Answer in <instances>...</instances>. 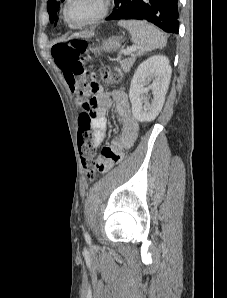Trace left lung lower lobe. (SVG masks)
<instances>
[{
  "instance_id": "left-lung-lower-lobe-1",
  "label": "left lung lower lobe",
  "mask_w": 227,
  "mask_h": 298,
  "mask_svg": "<svg viewBox=\"0 0 227 298\" xmlns=\"http://www.w3.org/2000/svg\"><path fill=\"white\" fill-rule=\"evenodd\" d=\"M116 8L106 20H147L168 33H178L177 0H115Z\"/></svg>"
}]
</instances>
